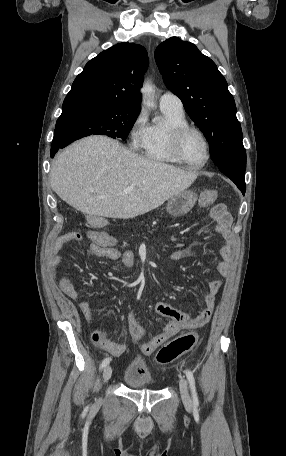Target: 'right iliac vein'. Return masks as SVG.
<instances>
[{"label":"right iliac vein","mask_w":286,"mask_h":456,"mask_svg":"<svg viewBox=\"0 0 286 456\" xmlns=\"http://www.w3.org/2000/svg\"><path fill=\"white\" fill-rule=\"evenodd\" d=\"M112 375V367L111 366H106L103 371V381L104 383H107L108 380L111 378Z\"/></svg>","instance_id":"obj_1"}]
</instances>
